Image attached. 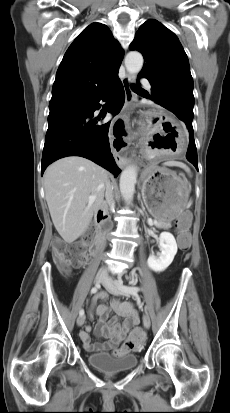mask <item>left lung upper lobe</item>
I'll list each match as a JSON object with an SVG mask.
<instances>
[{
    "label": "left lung upper lobe",
    "mask_w": 230,
    "mask_h": 413,
    "mask_svg": "<svg viewBox=\"0 0 230 413\" xmlns=\"http://www.w3.org/2000/svg\"><path fill=\"white\" fill-rule=\"evenodd\" d=\"M144 57L139 77L151 84V100L184 123L193 120V79L187 55L177 36L155 19L142 24L131 43Z\"/></svg>",
    "instance_id": "1"
}]
</instances>
